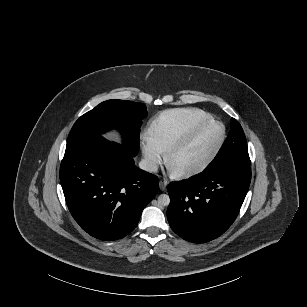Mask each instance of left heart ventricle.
I'll return each mask as SVG.
<instances>
[{"label":"left heart ventricle","instance_id":"obj_1","mask_svg":"<svg viewBox=\"0 0 307 307\" xmlns=\"http://www.w3.org/2000/svg\"><path fill=\"white\" fill-rule=\"evenodd\" d=\"M224 135V126L215 123L210 126L189 148L178 154L171 162V170L180 172L205 160L217 147Z\"/></svg>","mask_w":307,"mask_h":307}]
</instances>
